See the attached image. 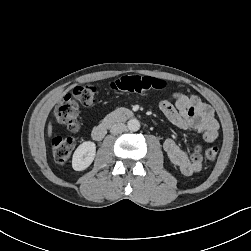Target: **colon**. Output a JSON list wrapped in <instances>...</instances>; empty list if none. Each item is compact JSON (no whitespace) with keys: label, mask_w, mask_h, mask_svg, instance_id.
<instances>
[{"label":"colon","mask_w":251,"mask_h":251,"mask_svg":"<svg viewBox=\"0 0 251 251\" xmlns=\"http://www.w3.org/2000/svg\"><path fill=\"white\" fill-rule=\"evenodd\" d=\"M166 87V82L149 76H123L110 83L113 91L146 94L153 91H160ZM97 94L95 85H79L66 94L55 107V116L59 124L71 132L79 129L78 111L79 105L90 106L94 103ZM74 137L55 136L52 139V153L58 164H65L70 159L75 147ZM218 155L217 146H209L205 150V157L208 161H214Z\"/></svg>","instance_id":"obj_1"}]
</instances>
